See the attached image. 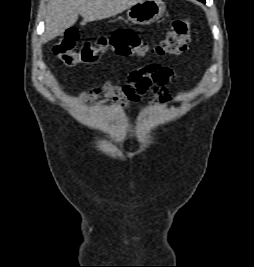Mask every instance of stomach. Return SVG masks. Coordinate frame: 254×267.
Segmentation results:
<instances>
[{"instance_id":"obj_1","label":"stomach","mask_w":254,"mask_h":267,"mask_svg":"<svg viewBox=\"0 0 254 267\" xmlns=\"http://www.w3.org/2000/svg\"><path fill=\"white\" fill-rule=\"evenodd\" d=\"M165 9L162 0H142L128 8L127 18L135 25H150L162 17Z\"/></svg>"}]
</instances>
